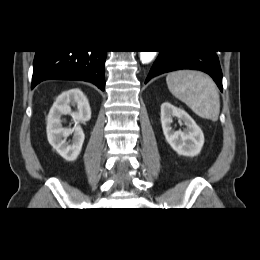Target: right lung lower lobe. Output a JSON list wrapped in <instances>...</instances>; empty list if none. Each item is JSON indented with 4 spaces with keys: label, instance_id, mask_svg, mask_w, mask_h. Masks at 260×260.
<instances>
[{
    "label": "right lung lower lobe",
    "instance_id": "1",
    "mask_svg": "<svg viewBox=\"0 0 260 260\" xmlns=\"http://www.w3.org/2000/svg\"><path fill=\"white\" fill-rule=\"evenodd\" d=\"M106 52L36 51L31 88L44 80L66 79L92 82L104 91Z\"/></svg>",
    "mask_w": 260,
    "mask_h": 260
}]
</instances>
